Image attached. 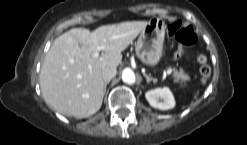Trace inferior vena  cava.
<instances>
[{
	"instance_id": "602c4592",
	"label": "inferior vena cava",
	"mask_w": 247,
	"mask_h": 145,
	"mask_svg": "<svg viewBox=\"0 0 247 145\" xmlns=\"http://www.w3.org/2000/svg\"><path fill=\"white\" fill-rule=\"evenodd\" d=\"M116 73H117L116 67L107 66L102 70V78L105 82L110 81L112 78L116 76Z\"/></svg>"
}]
</instances>
